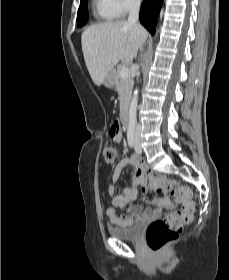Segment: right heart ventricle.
I'll return each instance as SVG.
<instances>
[{
    "instance_id": "obj_1",
    "label": "right heart ventricle",
    "mask_w": 229,
    "mask_h": 280,
    "mask_svg": "<svg viewBox=\"0 0 229 280\" xmlns=\"http://www.w3.org/2000/svg\"><path fill=\"white\" fill-rule=\"evenodd\" d=\"M93 12L95 17L100 22H111L116 16L115 14L105 5L103 0H93Z\"/></svg>"
}]
</instances>
